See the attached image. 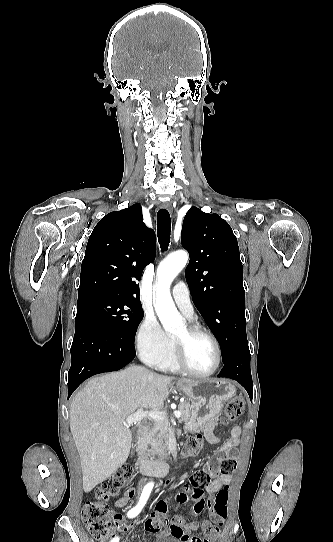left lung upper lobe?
Returning <instances> with one entry per match:
<instances>
[{
  "label": "left lung upper lobe",
  "instance_id": "1",
  "mask_svg": "<svg viewBox=\"0 0 333 542\" xmlns=\"http://www.w3.org/2000/svg\"><path fill=\"white\" fill-rule=\"evenodd\" d=\"M181 243L190 255L185 273L193 302L214 332L225 363L237 347L248 344L237 238L219 215L191 207Z\"/></svg>",
  "mask_w": 333,
  "mask_h": 542
}]
</instances>
